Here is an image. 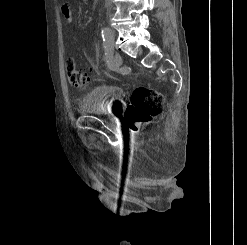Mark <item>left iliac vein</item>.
Here are the masks:
<instances>
[{"mask_svg": "<svg viewBox=\"0 0 247 245\" xmlns=\"http://www.w3.org/2000/svg\"><path fill=\"white\" fill-rule=\"evenodd\" d=\"M111 59H112V67H118L122 64L121 56L118 53H113V58Z\"/></svg>", "mask_w": 247, "mask_h": 245, "instance_id": "4c4485c4", "label": "left iliac vein"}]
</instances>
